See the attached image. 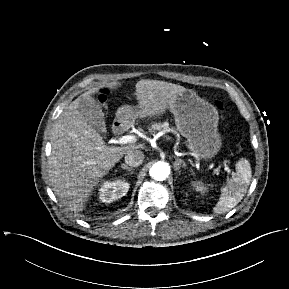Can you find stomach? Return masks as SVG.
<instances>
[{
	"mask_svg": "<svg viewBox=\"0 0 289 289\" xmlns=\"http://www.w3.org/2000/svg\"><path fill=\"white\" fill-rule=\"evenodd\" d=\"M169 108L175 117L177 130L186 139L187 148L198 158L214 157L222 144L216 108L192 90L178 94ZM136 116L146 115L139 107L124 106L117 111V119L122 121Z\"/></svg>",
	"mask_w": 289,
	"mask_h": 289,
	"instance_id": "1",
	"label": "stomach"
}]
</instances>
